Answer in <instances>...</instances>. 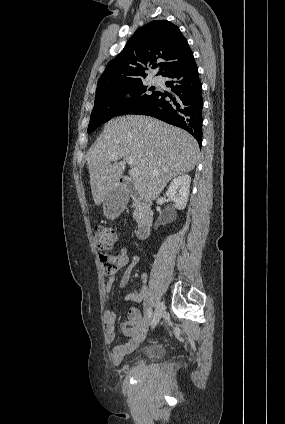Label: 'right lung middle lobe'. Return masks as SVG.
Returning a JSON list of instances; mask_svg holds the SVG:
<instances>
[{"label": "right lung middle lobe", "instance_id": "1", "mask_svg": "<svg viewBox=\"0 0 285 424\" xmlns=\"http://www.w3.org/2000/svg\"><path fill=\"white\" fill-rule=\"evenodd\" d=\"M132 97L126 99L125 95ZM157 91L147 88L143 81L111 85L96 90L94 108L88 126V133L117 115L129 114L135 108L148 102Z\"/></svg>", "mask_w": 285, "mask_h": 424}]
</instances>
